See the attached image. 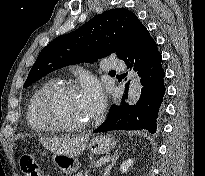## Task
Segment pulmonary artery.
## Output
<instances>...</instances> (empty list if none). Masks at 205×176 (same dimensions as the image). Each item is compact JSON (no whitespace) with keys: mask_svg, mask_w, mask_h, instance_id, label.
Returning <instances> with one entry per match:
<instances>
[{"mask_svg":"<svg viewBox=\"0 0 205 176\" xmlns=\"http://www.w3.org/2000/svg\"><path fill=\"white\" fill-rule=\"evenodd\" d=\"M104 66L109 70L119 72L124 71L126 69V66L123 63V61L115 57L114 55H110L104 60Z\"/></svg>","mask_w":205,"mask_h":176,"instance_id":"pulmonary-artery-1","label":"pulmonary artery"}]
</instances>
